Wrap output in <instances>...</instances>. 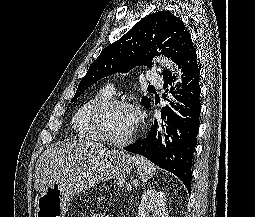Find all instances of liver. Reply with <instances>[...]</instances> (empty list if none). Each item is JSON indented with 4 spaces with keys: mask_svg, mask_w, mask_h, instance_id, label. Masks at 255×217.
I'll use <instances>...</instances> for the list:
<instances>
[{
    "mask_svg": "<svg viewBox=\"0 0 255 217\" xmlns=\"http://www.w3.org/2000/svg\"><path fill=\"white\" fill-rule=\"evenodd\" d=\"M105 152L103 144L91 141H72L47 148L35 167V190L43 191L61 182L87 163L101 158Z\"/></svg>",
    "mask_w": 255,
    "mask_h": 217,
    "instance_id": "liver-1",
    "label": "liver"
}]
</instances>
